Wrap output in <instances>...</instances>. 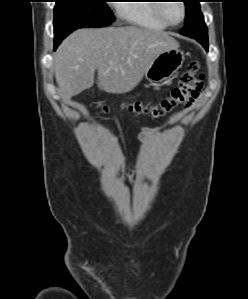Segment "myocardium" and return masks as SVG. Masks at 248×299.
I'll use <instances>...</instances> for the list:
<instances>
[{
	"instance_id": "obj_1",
	"label": "myocardium",
	"mask_w": 248,
	"mask_h": 299,
	"mask_svg": "<svg viewBox=\"0 0 248 299\" xmlns=\"http://www.w3.org/2000/svg\"><path fill=\"white\" fill-rule=\"evenodd\" d=\"M178 3L181 5V9H182V17L178 22H171L170 20H168V18L165 16L163 8L164 5L166 3H158L156 6V14L158 16V18L167 26H178L180 25L186 18V5L183 1H178Z\"/></svg>"
}]
</instances>
